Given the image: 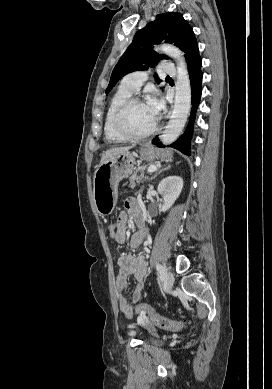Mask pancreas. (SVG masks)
<instances>
[{
    "label": "pancreas",
    "mask_w": 272,
    "mask_h": 389,
    "mask_svg": "<svg viewBox=\"0 0 272 389\" xmlns=\"http://www.w3.org/2000/svg\"><path fill=\"white\" fill-rule=\"evenodd\" d=\"M148 168H149L148 165L141 166V167L138 168V170L136 172H134V174L131 175L129 180H130V185H131L132 188H134L136 186V184H139V183H141L143 181L144 171L146 169H148ZM138 171L141 172L140 175L137 174Z\"/></svg>",
    "instance_id": "cf45deb5"
}]
</instances>
